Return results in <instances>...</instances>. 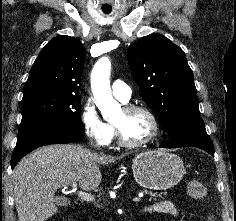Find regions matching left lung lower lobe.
Wrapping results in <instances>:
<instances>
[{"mask_svg": "<svg viewBox=\"0 0 236 221\" xmlns=\"http://www.w3.org/2000/svg\"><path fill=\"white\" fill-rule=\"evenodd\" d=\"M185 146L203 149L214 156V147L204 126H189L179 129L171 134V140L163 147L179 148Z\"/></svg>", "mask_w": 236, "mask_h": 221, "instance_id": "obj_1", "label": "left lung lower lobe"}]
</instances>
